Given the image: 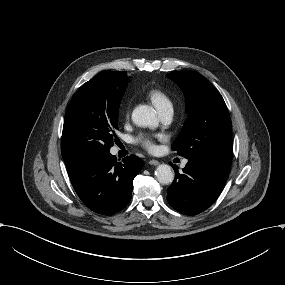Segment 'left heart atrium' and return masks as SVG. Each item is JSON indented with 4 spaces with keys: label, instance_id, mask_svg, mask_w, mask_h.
<instances>
[{
    "label": "left heart atrium",
    "instance_id": "39dd6f15",
    "mask_svg": "<svg viewBox=\"0 0 285 285\" xmlns=\"http://www.w3.org/2000/svg\"><path fill=\"white\" fill-rule=\"evenodd\" d=\"M154 136L148 134H142L137 137V142L140 143L147 150L152 151L155 149L153 142Z\"/></svg>",
    "mask_w": 285,
    "mask_h": 285
}]
</instances>
